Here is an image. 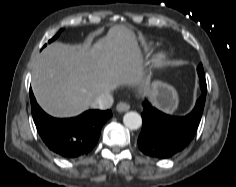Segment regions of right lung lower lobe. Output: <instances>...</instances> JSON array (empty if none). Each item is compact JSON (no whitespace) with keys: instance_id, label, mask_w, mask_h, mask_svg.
<instances>
[{"instance_id":"obj_1","label":"right lung lower lobe","mask_w":236,"mask_h":187,"mask_svg":"<svg viewBox=\"0 0 236 187\" xmlns=\"http://www.w3.org/2000/svg\"><path fill=\"white\" fill-rule=\"evenodd\" d=\"M30 100L40 137L50 150L65 159L87 155L97 144L103 124L112 116L110 110H88L74 118L57 119L40 108L31 89Z\"/></svg>"}]
</instances>
